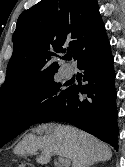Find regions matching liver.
Returning <instances> with one entry per match:
<instances>
[{"mask_svg":"<svg viewBox=\"0 0 125 167\" xmlns=\"http://www.w3.org/2000/svg\"><path fill=\"white\" fill-rule=\"evenodd\" d=\"M35 132L44 135H36ZM42 150L36 158L39 164H48L52 154L68 158L72 167H88L93 162H105L111 159L110 147L94 136L75 127L60 124H43L23 137L15 146L18 155L35 154Z\"/></svg>","mask_w":125,"mask_h":167,"instance_id":"obj_1","label":"liver"}]
</instances>
